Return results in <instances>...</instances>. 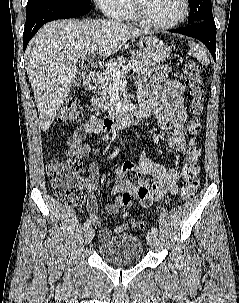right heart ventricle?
Here are the masks:
<instances>
[{
    "instance_id": "obj_1",
    "label": "right heart ventricle",
    "mask_w": 239,
    "mask_h": 303,
    "mask_svg": "<svg viewBox=\"0 0 239 303\" xmlns=\"http://www.w3.org/2000/svg\"><path fill=\"white\" fill-rule=\"evenodd\" d=\"M118 20L122 21H137L131 5V0H127L126 9L123 14L117 18Z\"/></svg>"
}]
</instances>
